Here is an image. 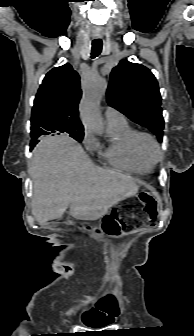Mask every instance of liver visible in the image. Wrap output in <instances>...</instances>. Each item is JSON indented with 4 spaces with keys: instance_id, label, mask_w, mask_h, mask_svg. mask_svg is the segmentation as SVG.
I'll return each mask as SVG.
<instances>
[{
    "instance_id": "6515ba94",
    "label": "liver",
    "mask_w": 194,
    "mask_h": 336,
    "mask_svg": "<svg viewBox=\"0 0 194 336\" xmlns=\"http://www.w3.org/2000/svg\"><path fill=\"white\" fill-rule=\"evenodd\" d=\"M32 214L39 223L59 219L67 208L79 220H97L109 208L137 193V179L96 166L67 136L44 138L33 150Z\"/></svg>"
}]
</instances>
